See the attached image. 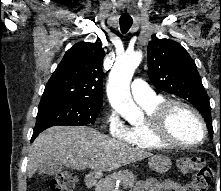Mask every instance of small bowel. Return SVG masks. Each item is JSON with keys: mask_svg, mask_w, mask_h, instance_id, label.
Listing matches in <instances>:
<instances>
[{"mask_svg": "<svg viewBox=\"0 0 221 191\" xmlns=\"http://www.w3.org/2000/svg\"><path fill=\"white\" fill-rule=\"evenodd\" d=\"M132 191H184V185L173 180L159 182L147 179L138 182Z\"/></svg>", "mask_w": 221, "mask_h": 191, "instance_id": "1", "label": "small bowel"}]
</instances>
